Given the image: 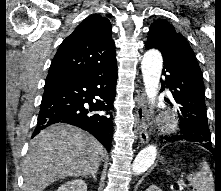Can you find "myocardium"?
I'll return each mask as SVG.
<instances>
[{
	"instance_id": "1",
	"label": "myocardium",
	"mask_w": 221,
	"mask_h": 191,
	"mask_svg": "<svg viewBox=\"0 0 221 191\" xmlns=\"http://www.w3.org/2000/svg\"><path fill=\"white\" fill-rule=\"evenodd\" d=\"M176 126V120L173 116L168 115L165 117V127L171 129Z\"/></svg>"
}]
</instances>
